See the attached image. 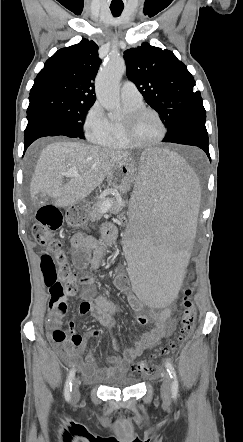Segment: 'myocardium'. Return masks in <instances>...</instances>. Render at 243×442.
Returning a JSON list of instances; mask_svg holds the SVG:
<instances>
[{
	"label": "myocardium",
	"instance_id": "obj_1",
	"mask_svg": "<svg viewBox=\"0 0 243 442\" xmlns=\"http://www.w3.org/2000/svg\"><path fill=\"white\" fill-rule=\"evenodd\" d=\"M146 113H151L157 118L161 126V133L156 140L149 143H141L134 140L133 129L137 120ZM166 134H167V127L163 117L156 109L151 107L141 106L137 109L129 111L128 113H126V115L122 120V135L126 144L129 147L141 148V149L155 147L164 140Z\"/></svg>",
	"mask_w": 243,
	"mask_h": 442
}]
</instances>
